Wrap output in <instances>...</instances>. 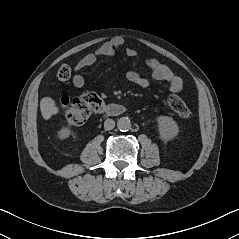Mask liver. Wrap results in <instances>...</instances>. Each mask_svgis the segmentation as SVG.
Returning a JSON list of instances; mask_svg holds the SVG:
<instances>
[{
    "label": "liver",
    "instance_id": "1",
    "mask_svg": "<svg viewBox=\"0 0 239 239\" xmlns=\"http://www.w3.org/2000/svg\"><path fill=\"white\" fill-rule=\"evenodd\" d=\"M40 110L42 117L45 120L50 119L51 116L59 112V108L57 107L55 101L51 97H44L41 99Z\"/></svg>",
    "mask_w": 239,
    "mask_h": 239
}]
</instances>
